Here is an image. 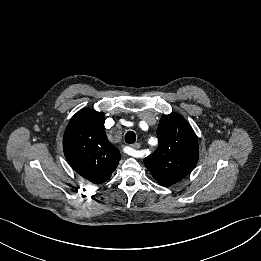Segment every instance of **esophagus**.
Returning <instances> with one entry per match:
<instances>
[{
  "label": "esophagus",
  "mask_w": 261,
  "mask_h": 261,
  "mask_svg": "<svg viewBox=\"0 0 261 261\" xmlns=\"http://www.w3.org/2000/svg\"><path fill=\"white\" fill-rule=\"evenodd\" d=\"M131 146H132L133 149H139L140 148L139 143H134ZM130 155L135 157V158H139V155L136 152H132Z\"/></svg>",
  "instance_id": "34e87169"
}]
</instances>
